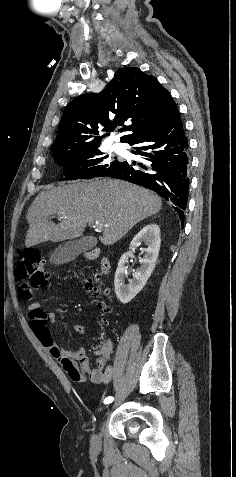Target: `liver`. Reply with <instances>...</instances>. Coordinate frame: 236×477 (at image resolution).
Segmentation results:
<instances>
[{
  "instance_id": "1",
  "label": "liver",
  "mask_w": 236,
  "mask_h": 477,
  "mask_svg": "<svg viewBox=\"0 0 236 477\" xmlns=\"http://www.w3.org/2000/svg\"><path fill=\"white\" fill-rule=\"evenodd\" d=\"M162 201L155 193L115 179L73 182L42 191L27 212L26 247L59 242L82 235L87 224L103 227L99 240L112 245L138 222L157 214ZM57 214L59 224L50 217Z\"/></svg>"
}]
</instances>
